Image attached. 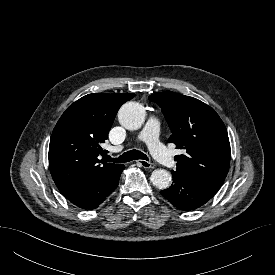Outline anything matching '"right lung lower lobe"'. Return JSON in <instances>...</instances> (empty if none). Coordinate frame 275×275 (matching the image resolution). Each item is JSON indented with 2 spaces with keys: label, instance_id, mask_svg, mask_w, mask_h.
Returning a JSON list of instances; mask_svg holds the SVG:
<instances>
[{
  "label": "right lung lower lobe",
  "instance_id": "98d812e1",
  "mask_svg": "<svg viewBox=\"0 0 275 275\" xmlns=\"http://www.w3.org/2000/svg\"><path fill=\"white\" fill-rule=\"evenodd\" d=\"M120 165L113 172L85 187L64 192L63 195L73 204L83 209H94L118 186L121 172Z\"/></svg>",
  "mask_w": 275,
  "mask_h": 275
}]
</instances>
